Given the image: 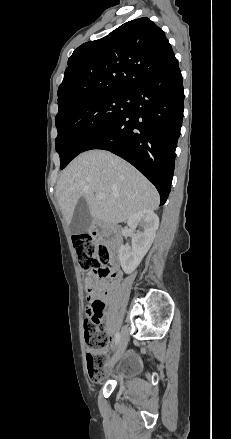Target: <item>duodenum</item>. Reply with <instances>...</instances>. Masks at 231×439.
Here are the masks:
<instances>
[{
  "label": "duodenum",
  "mask_w": 231,
  "mask_h": 439,
  "mask_svg": "<svg viewBox=\"0 0 231 439\" xmlns=\"http://www.w3.org/2000/svg\"><path fill=\"white\" fill-rule=\"evenodd\" d=\"M92 230L95 231V232L102 231V229L99 226H96V225L92 227ZM110 232H111V234L118 235L120 233V228L119 227L111 228Z\"/></svg>",
  "instance_id": "410a0bca"
}]
</instances>
